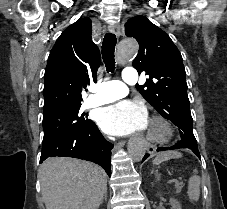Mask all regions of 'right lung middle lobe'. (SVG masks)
I'll return each mask as SVG.
<instances>
[{
  "mask_svg": "<svg viewBox=\"0 0 227 209\" xmlns=\"http://www.w3.org/2000/svg\"><path fill=\"white\" fill-rule=\"evenodd\" d=\"M82 100L52 99L43 107V142L62 133L82 129L92 121L80 111Z\"/></svg>",
  "mask_w": 227,
  "mask_h": 209,
  "instance_id": "right-lung-middle-lobe-1",
  "label": "right lung middle lobe"
}]
</instances>
